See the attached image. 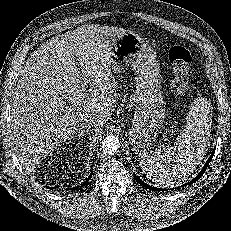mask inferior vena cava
Returning a JSON list of instances; mask_svg holds the SVG:
<instances>
[{
	"mask_svg": "<svg viewBox=\"0 0 231 231\" xmlns=\"http://www.w3.org/2000/svg\"><path fill=\"white\" fill-rule=\"evenodd\" d=\"M96 124V119L92 116H83L80 121V126L82 128H90Z\"/></svg>",
	"mask_w": 231,
	"mask_h": 231,
	"instance_id": "obj_1",
	"label": "inferior vena cava"
}]
</instances>
